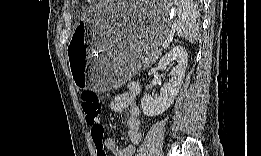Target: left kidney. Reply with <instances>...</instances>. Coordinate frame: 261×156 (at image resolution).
<instances>
[{"label": "left kidney", "instance_id": "obj_1", "mask_svg": "<svg viewBox=\"0 0 261 156\" xmlns=\"http://www.w3.org/2000/svg\"><path fill=\"white\" fill-rule=\"evenodd\" d=\"M176 65L170 72L171 78L160 88V94L153 99L145 94L141 99V108L146 116L162 114L173 103L183 83V78L188 64V54L184 47L176 46L165 54L158 62V69H165L171 62Z\"/></svg>", "mask_w": 261, "mask_h": 156}]
</instances>
